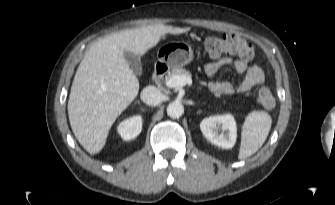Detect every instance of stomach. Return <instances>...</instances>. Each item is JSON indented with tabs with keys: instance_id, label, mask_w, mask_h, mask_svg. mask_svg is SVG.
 I'll use <instances>...</instances> for the list:
<instances>
[{
	"instance_id": "obj_1",
	"label": "stomach",
	"mask_w": 335,
	"mask_h": 205,
	"mask_svg": "<svg viewBox=\"0 0 335 205\" xmlns=\"http://www.w3.org/2000/svg\"><path fill=\"white\" fill-rule=\"evenodd\" d=\"M157 57L169 67H182L192 61L193 51L187 43L169 42L159 48Z\"/></svg>"
}]
</instances>
